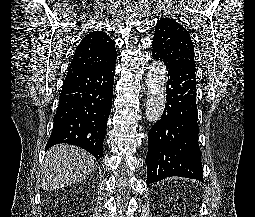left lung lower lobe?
I'll return each mask as SVG.
<instances>
[{
	"mask_svg": "<svg viewBox=\"0 0 255 217\" xmlns=\"http://www.w3.org/2000/svg\"><path fill=\"white\" fill-rule=\"evenodd\" d=\"M152 56L166 65L168 81L164 112L148 133L147 186L171 176L203 182L196 74L191 69L173 64L157 50L153 49Z\"/></svg>",
	"mask_w": 255,
	"mask_h": 217,
	"instance_id": "obj_1",
	"label": "left lung lower lobe"
}]
</instances>
